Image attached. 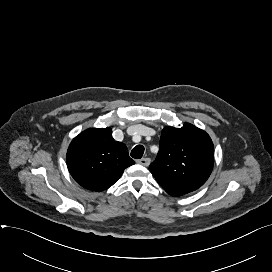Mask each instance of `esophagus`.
I'll use <instances>...</instances> for the list:
<instances>
[{
    "label": "esophagus",
    "mask_w": 272,
    "mask_h": 272,
    "mask_svg": "<svg viewBox=\"0 0 272 272\" xmlns=\"http://www.w3.org/2000/svg\"><path fill=\"white\" fill-rule=\"evenodd\" d=\"M150 162H151L150 158H141L137 160V163L143 166H148Z\"/></svg>",
    "instance_id": "1"
}]
</instances>
